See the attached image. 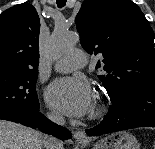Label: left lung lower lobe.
<instances>
[{
    "instance_id": "1",
    "label": "left lung lower lobe",
    "mask_w": 155,
    "mask_h": 149,
    "mask_svg": "<svg viewBox=\"0 0 155 149\" xmlns=\"http://www.w3.org/2000/svg\"><path fill=\"white\" fill-rule=\"evenodd\" d=\"M111 99L110 112L99 125L87 129V135L155 127V82L137 84Z\"/></svg>"
}]
</instances>
